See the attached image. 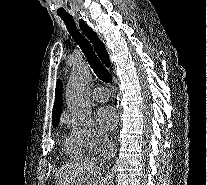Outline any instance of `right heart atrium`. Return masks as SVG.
Masks as SVG:
<instances>
[{"mask_svg": "<svg viewBox=\"0 0 207 185\" xmlns=\"http://www.w3.org/2000/svg\"><path fill=\"white\" fill-rule=\"evenodd\" d=\"M62 122L71 128L72 136L91 152H97L108 140L107 134L89 116L65 112Z\"/></svg>", "mask_w": 207, "mask_h": 185, "instance_id": "obj_1", "label": "right heart atrium"}]
</instances>
